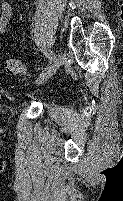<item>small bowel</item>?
I'll list each match as a JSON object with an SVG mask.
<instances>
[{"label":"small bowel","instance_id":"1","mask_svg":"<svg viewBox=\"0 0 123 201\" xmlns=\"http://www.w3.org/2000/svg\"><path fill=\"white\" fill-rule=\"evenodd\" d=\"M12 17V5L4 2L0 7V35L6 31L7 25Z\"/></svg>","mask_w":123,"mask_h":201}]
</instances>
